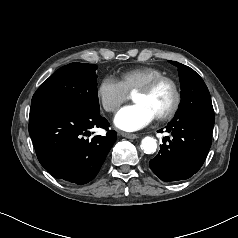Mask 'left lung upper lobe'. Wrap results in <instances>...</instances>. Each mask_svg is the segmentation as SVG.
<instances>
[{"instance_id":"obj_1","label":"left lung upper lobe","mask_w":238,"mask_h":238,"mask_svg":"<svg viewBox=\"0 0 238 238\" xmlns=\"http://www.w3.org/2000/svg\"><path fill=\"white\" fill-rule=\"evenodd\" d=\"M169 62L178 67L181 83V103L174 120L214 121L210 93L203 79L190 67Z\"/></svg>"}]
</instances>
